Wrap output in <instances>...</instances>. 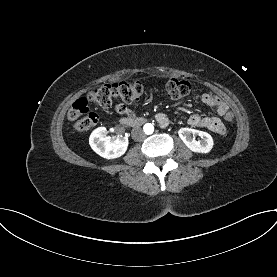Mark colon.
<instances>
[{
  "instance_id": "5ec220e1",
  "label": "colon",
  "mask_w": 277,
  "mask_h": 277,
  "mask_svg": "<svg viewBox=\"0 0 277 277\" xmlns=\"http://www.w3.org/2000/svg\"><path fill=\"white\" fill-rule=\"evenodd\" d=\"M190 84L185 80L170 79L166 83V91L173 100L181 99L190 93ZM147 91V85L141 81L105 84L90 90L86 97L77 99L68 111V119L74 121V128L83 132L93 128L98 120L97 114L90 112L88 104L93 103L108 108L114 101L130 103L141 98ZM223 120L228 123L235 121L232 112H226Z\"/></svg>"
}]
</instances>
